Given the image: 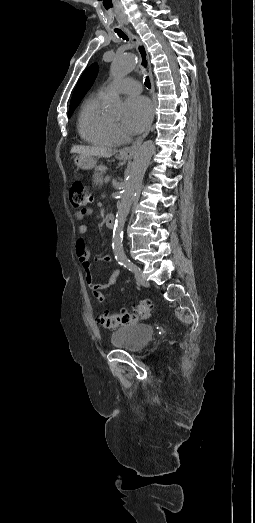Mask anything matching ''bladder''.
<instances>
[{"instance_id": "31cf9c89", "label": "bladder", "mask_w": 255, "mask_h": 523, "mask_svg": "<svg viewBox=\"0 0 255 523\" xmlns=\"http://www.w3.org/2000/svg\"><path fill=\"white\" fill-rule=\"evenodd\" d=\"M154 330L147 324H130L118 328L110 338V344L128 351H139L153 336Z\"/></svg>"}]
</instances>
